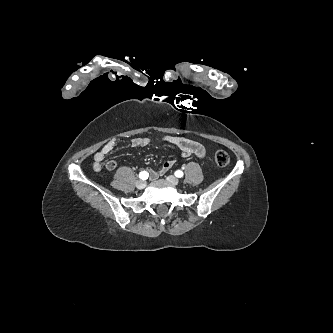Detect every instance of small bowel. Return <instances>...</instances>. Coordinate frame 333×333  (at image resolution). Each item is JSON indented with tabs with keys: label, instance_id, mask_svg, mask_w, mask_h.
<instances>
[{
	"label": "small bowel",
	"instance_id": "1",
	"mask_svg": "<svg viewBox=\"0 0 333 333\" xmlns=\"http://www.w3.org/2000/svg\"><path fill=\"white\" fill-rule=\"evenodd\" d=\"M162 141L168 144H171L178 148L182 155L184 157H189L191 155H194L198 158H203L205 156V149L202 144L187 139L185 137H179V136H164L162 137ZM151 140L145 137H137L134 138L131 142L133 147H144L148 144H150ZM118 140L112 139L108 143H106L100 151L95 153L93 157V164L92 167L96 172H99L102 170L104 165L105 157L113 151V149L117 146ZM175 164V160H168L165 161L160 165V167L156 169L150 170V175L152 178H157L164 173H166L173 165ZM117 167V162L113 159H110L106 161L105 168L108 171H113Z\"/></svg>",
	"mask_w": 333,
	"mask_h": 333
}]
</instances>
